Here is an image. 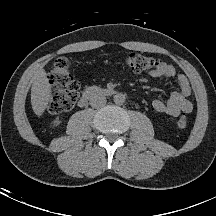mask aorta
<instances>
[{"label": "aorta", "mask_w": 216, "mask_h": 216, "mask_svg": "<svg viewBox=\"0 0 216 216\" xmlns=\"http://www.w3.org/2000/svg\"><path fill=\"white\" fill-rule=\"evenodd\" d=\"M113 100H114L115 104L122 105V104H124L126 97L122 93H117L116 95H114Z\"/></svg>", "instance_id": "1"}]
</instances>
